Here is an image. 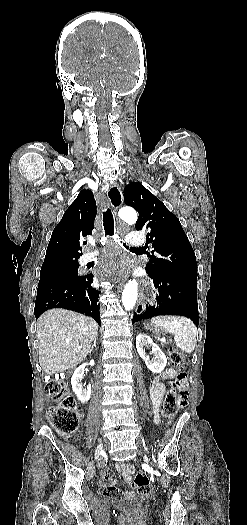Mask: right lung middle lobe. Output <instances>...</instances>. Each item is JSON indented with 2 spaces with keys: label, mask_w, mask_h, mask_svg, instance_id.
I'll return each mask as SVG.
<instances>
[{
  "label": "right lung middle lobe",
  "mask_w": 247,
  "mask_h": 525,
  "mask_svg": "<svg viewBox=\"0 0 247 525\" xmlns=\"http://www.w3.org/2000/svg\"><path fill=\"white\" fill-rule=\"evenodd\" d=\"M79 263L77 259L58 262L40 272V280L38 287L47 282L65 279L77 278Z\"/></svg>",
  "instance_id": "obj_1"
}]
</instances>
